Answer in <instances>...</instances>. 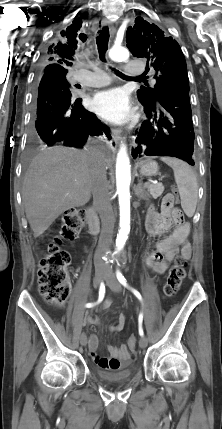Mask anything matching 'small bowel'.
Masks as SVG:
<instances>
[{
	"mask_svg": "<svg viewBox=\"0 0 222 429\" xmlns=\"http://www.w3.org/2000/svg\"><path fill=\"white\" fill-rule=\"evenodd\" d=\"M173 230L169 235L157 241L153 249L144 256L145 266L156 274H163L170 262L180 254L186 260L191 256V245L188 241L190 225L185 221L184 215L179 208L165 206L162 204L161 211L158 212L150 206L146 217V228L153 237H160L167 234L171 228ZM111 300L107 299L103 305L106 310L110 307ZM126 317L121 313L116 325L111 326V332H120L125 326ZM87 323L99 325L97 317L89 316ZM99 346L98 337L95 334L89 336L88 348L92 360L102 369L119 370L129 364L132 351L126 345L116 347L108 345L109 357L100 356L97 352Z\"/></svg>",
	"mask_w": 222,
	"mask_h": 429,
	"instance_id": "small-bowel-1",
	"label": "small bowel"
}]
</instances>
